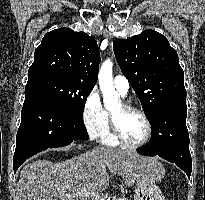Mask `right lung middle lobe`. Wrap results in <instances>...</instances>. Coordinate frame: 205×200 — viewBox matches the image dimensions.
<instances>
[{
  "label": "right lung middle lobe",
  "instance_id": "dd1d6c3e",
  "mask_svg": "<svg viewBox=\"0 0 205 200\" xmlns=\"http://www.w3.org/2000/svg\"><path fill=\"white\" fill-rule=\"evenodd\" d=\"M93 87L59 75L46 74L28 79L25 93L33 91L47 95L68 112L83 119L85 102Z\"/></svg>",
  "mask_w": 205,
  "mask_h": 200
}]
</instances>
